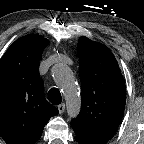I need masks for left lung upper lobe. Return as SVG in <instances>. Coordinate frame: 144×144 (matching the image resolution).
Here are the masks:
<instances>
[{
  "mask_svg": "<svg viewBox=\"0 0 144 144\" xmlns=\"http://www.w3.org/2000/svg\"><path fill=\"white\" fill-rule=\"evenodd\" d=\"M77 56L82 107L71 126L77 142L106 144L114 136L124 114L125 82L115 57L103 44L80 37Z\"/></svg>",
  "mask_w": 144,
  "mask_h": 144,
  "instance_id": "obj_1",
  "label": "left lung upper lobe"
}]
</instances>
